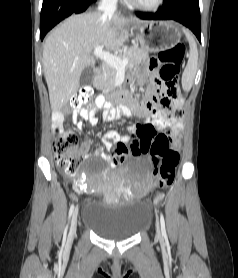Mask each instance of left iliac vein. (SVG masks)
<instances>
[{
	"label": "left iliac vein",
	"instance_id": "left-iliac-vein-1",
	"mask_svg": "<svg viewBox=\"0 0 238 278\" xmlns=\"http://www.w3.org/2000/svg\"><path fill=\"white\" fill-rule=\"evenodd\" d=\"M156 233H157V237L160 238L161 237V231H160L159 224H157Z\"/></svg>",
	"mask_w": 238,
	"mask_h": 278
}]
</instances>
